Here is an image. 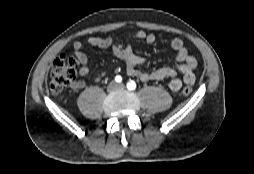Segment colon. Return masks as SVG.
Returning a JSON list of instances; mask_svg holds the SVG:
<instances>
[{
    "mask_svg": "<svg viewBox=\"0 0 254 174\" xmlns=\"http://www.w3.org/2000/svg\"><path fill=\"white\" fill-rule=\"evenodd\" d=\"M76 77V63L74 57L61 54L54 62L50 74V89L54 94L62 93ZM192 93L190 87H184L182 94Z\"/></svg>",
    "mask_w": 254,
    "mask_h": 174,
    "instance_id": "obj_1",
    "label": "colon"
}]
</instances>
